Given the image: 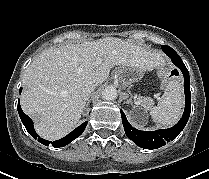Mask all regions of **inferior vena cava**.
Masks as SVG:
<instances>
[{
    "instance_id": "obj_1",
    "label": "inferior vena cava",
    "mask_w": 209,
    "mask_h": 179,
    "mask_svg": "<svg viewBox=\"0 0 209 179\" xmlns=\"http://www.w3.org/2000/svg\"><path fill=\"white\" fill-rule=\"evenodd\" d=\"M96 88L95 84L89 85L86 89H85V95H86V100L88 99L89 95L91 92H93Z\"/></svg>"
}]
</instances>
